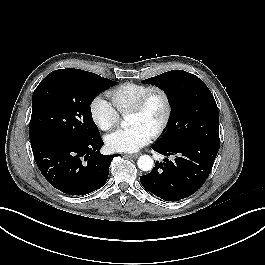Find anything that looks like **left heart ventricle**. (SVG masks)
Instances as JSON below:
<instances>
[{
    "label": "left heart ventricle",
    "instance_id": "1",
    "mask_svg": "<svg viewBox=\"0 0 265 265\" xmlns=\"http://www.w3.org/2000/svg\"><path fill=\"white\" fill-rule=\"evenodd\" d=\"M165 105L160 95H154L143 113H130L129 125H142L151 133L160 122Z\"/></svg>",
    "mask_w": 265,
    "mask_h": 265
}]
</instances>
